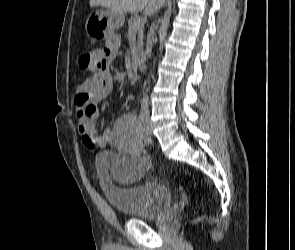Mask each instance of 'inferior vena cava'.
<instances>
[{
    "label": "inferior vena cava",
    "instance_id": "inferior-vena-cava-1",
    "mask_svg": "<svg viewBox=\"0 0 295 250\" xmlns=\"http://www.w3.org/2000/svg\"><path fill=\"white\" fill-rule=\"evenodd\" d=\"M156 29H157V27L153 23L150 27V31L148 34L147 47H146V51L149 56L151 55V52H152V44H153L154 34H155ZM141 108L143 111V115L148 116L149 115V105H148V97L147 96H144V98L142 100Z\"/></svg>",
    "mask_w": 295,
    "mask_h": 250
}]
</instances>
